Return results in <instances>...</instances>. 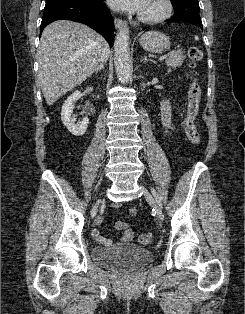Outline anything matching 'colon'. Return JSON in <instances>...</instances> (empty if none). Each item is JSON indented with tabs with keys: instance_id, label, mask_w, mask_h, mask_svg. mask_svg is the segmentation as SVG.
Segmentation results:
<instances>
[{
	"instance_id": "colon-1",
	"label": "colon",
	"mask_w": 245,
	"mask_h": 314,
	"mask_svg": "<svg viewBox=\"0 0 245 314\" xmlns=\"http://www.w3.org/2000/svg\"><path fill=\"white\" fill-rule=\"evenodd\" d=\"M189 59V66L193 70L194 80L189 89L187 113L183 122V129L188 140L198 145L200 143V134L195 126V118L198 113L200 86L197 80V73L195 71L196 64L202 59V51L197 47H191L187 53ZM138 242L143 245H148L153 242V236L150 233L139 235Z\"/></svg>"
}]
</instances>
